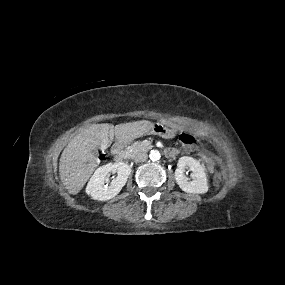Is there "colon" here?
I'll use <instances>...</instances> for the list:
<instances>
[{"instance_id":"5ec220e1","label":"colon","mask_w":285,"mask_h":285,"mask_svg":"<svg viewBox=\"0 0 285 285\" xmlns=\"http://www.w3.org/2000/svg\"><path fill=\"white\" fill-rule=\"evenodd\" d=\"M179 140L180 142L184 143V147L187 150H193L197 148L198 146V141L194 134L188 133V132H182L179 135ZM224 182V176L220 173L217 172L215 175V184L217 186L221 185Z\"/></svg>"}]
</instances>
